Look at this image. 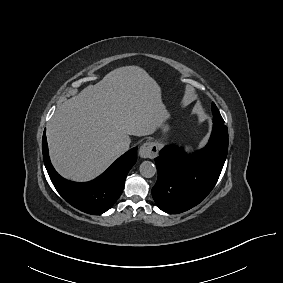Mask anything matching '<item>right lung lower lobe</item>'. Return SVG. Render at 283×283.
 <instances>
[{"mask_svg": "<svg viewBox=\"0 0 283 283\" xmlns=\"http://www.w3.org/2000/svg\"><path fill=\"white\" fill-rule=\"evenodd\" d=\"M43 160L58 193L82 212L99 215L110 209L121 195L126 176L137 159V147L118 158L102 175L90 182L77 183L62 178L53 168L48 154L46 134L42 139Z\"/></svg>", "mask_w": 283, "mask_h": 283, "instance_id": "98d812e1", "label": "right lung lower lobe"}]
</instances>
